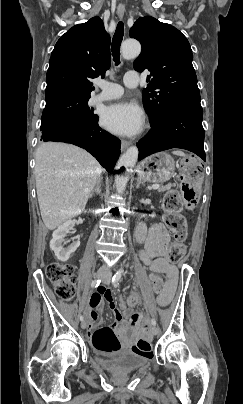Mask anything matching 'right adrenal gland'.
Returning a JSON list of instances; mask_svg holds the SVG:
<instances>
[{
	"label": "right adrenal gland",
	"instance_id": "right-adrenal-gland-1",
	"mask_svg": "<svg viewBox=\"0 0 243 404\" xmlns=\"http://www.w3.org/2000/svg\"><path fill=\"white\" fill-rule=\"evenodd\" d=\"M102 180H103V178H102V176H100L94 190H91L89 198H93L94 194H97V196H99V194H101Z\"/></svg>",
	"mask_w": 243,
	"mask_h": 404
}]
</instances>
